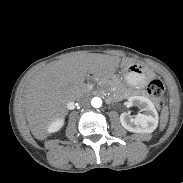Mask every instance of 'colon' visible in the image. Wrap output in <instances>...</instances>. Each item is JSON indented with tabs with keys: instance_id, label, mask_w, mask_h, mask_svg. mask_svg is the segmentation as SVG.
Returning <instances> with one entry per match:
<instances>
[{
	"instance_id": "colon-1",
	"label": "colon",
	"mask_w": 183,
	"mask_h": 183,
	"mask_svg": "<svg viewBox=\"0 0 183 183\" xmlns=\"http://www.w3.org/2000/svg\"><path fill=\"white\" fill-rule=\"evenodd\" d=\"M148 93L152 98L162 103L164 97V86L161 81L153 80L148 85Z\"/></svg>"
}]
</instances>
